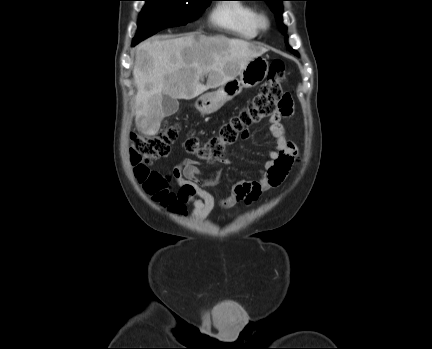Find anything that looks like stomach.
<instances>
[{
	"label": "stomach",
	"mask_w": 432,
	"mask_h": 349,
	"mask_svg": "<svg viewBox=\"0 0 432 349\" xmlns=\"http://www.w3.org/2000/svg\"><path fill=\"white\" fill-rule=\"evenodd\" d=\"M268 71L269 63L266 58L255 57L240 72L239 79L230 80L217 90L201 95L195 103L197 110L203 115L216 112L227 101L239 95L243 88L260 84L267 77Z\"/></svg>",
	"instance_id": "1"
}]
</instances>
